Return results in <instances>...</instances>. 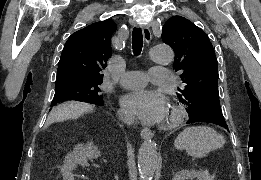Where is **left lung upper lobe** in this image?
<instances>
[{
	"mask_svg": "<svg viewBox=\"0 0 261 180\" xmlns=\"http://www.w3.org/2000/svg\"><path fill=\"white\" fill-rule=\"evenodd\" d=\"M162 40L175 52L174 69L185 87L177 93L190 116L223 117L218 92L217 59L208 36L188 19L173 16L162 28Z\"/></svg>",
	"mask_w": 261,
	"mask_h": 180,
	"instance_id": "1",
	"label": "left lung upper lobe"
}]
</instances>
